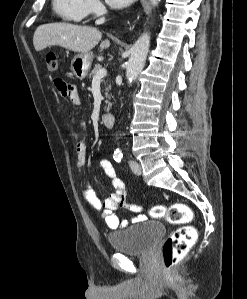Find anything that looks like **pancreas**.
I'll use <instances>...</instances> for the list:
<instances>
[{
	"mask_svg": "<svg viewBox=\"0 0 247 299\" xmlns=\"http://www.w3.org/2000/svg\"><path fill=\"white\" fill-rule=\"evenodd\" d=\"M100 69H102V66H101L100 64H96V65L94 66V68L92 69V71L90 72V74H89V78H94V76L96 75V73H97ZM110 89H111L110 86L105 87V96H106L107 98H110V95H109V93H108V92L110 91ZM106 103H108V107H105L104 109H105L106 111H109L110 106H111V103H110L109 101H106Z\"/></svg>",
	"mask_w": 247,
	"mask_h": 299,
	"instance_id": "1",
	"label": "pancreas"
}]
</instances>
